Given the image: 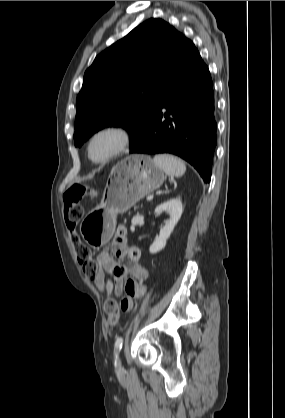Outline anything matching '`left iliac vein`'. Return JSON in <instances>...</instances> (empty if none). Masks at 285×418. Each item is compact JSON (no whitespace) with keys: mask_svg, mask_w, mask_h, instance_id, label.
Wrapping results in <instances>:
<instances>
[{"mask_svg":"<svg viewBox=\"0 0 285 418\" xmlns=\"http://www.w3.org/2000/svg\"><path fill=\"white\" fill-rule=\"evenodd\" d=\"M115 359H116V362H115L116 370L120 371L121 370V361H120L119 355H116Z\"/></svg>","mask_w":285,"mask_h":418,"instance_id":"1","label":"left iliac vein"}]
</instances>
